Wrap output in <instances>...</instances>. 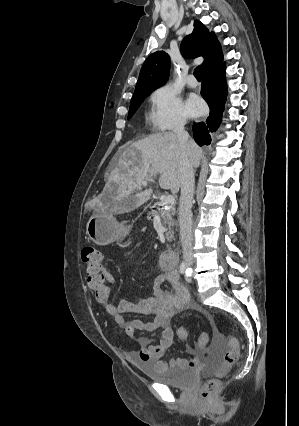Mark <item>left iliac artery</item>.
<instances>
[{
	"instance_id": "44dca946",
	"label": "left iliac artery",
	"mask_w": 299,
	"mask_h": 426,
	"mask_svg": "<svg viewBox=\"0 0 299 426\" xmlns=\"http://www.w3.org/2000/svg\"><path fill=\"white\" fill-rule=\"evenodd\" d=\"M191 269H189V271L188 270H186V276H191Z\"/></svg>"
}]
</instances>
